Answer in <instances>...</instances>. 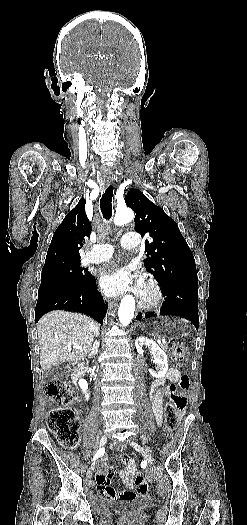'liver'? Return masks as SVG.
<instances>
[{
    "label": "liver",
    "mask_w": 247,
    "mask_h": 525,
    "mask_svg": "<svg viewBox=\"0 0 247 525\" xmlns=\"http://www.w3.org/2000/svg\"><path fill=\"white\" fill-rule=\"evenodd\" d=\"M96 327V321L79 313L50 311L43 315L37 325L41 369L49 371L55 365L86 359ZM73 347H83V351Z\"/></svg>",
    "instance_id": "6515ba94"
}]
</instances>
